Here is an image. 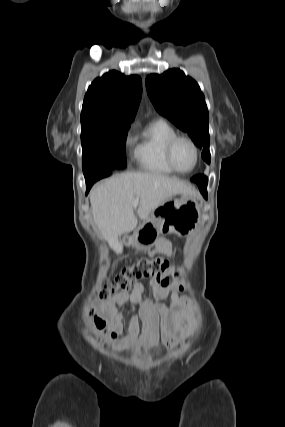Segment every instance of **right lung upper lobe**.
Masks as SVG:
<instances>
[{"label": "right lung upper lobe", "mask_w": 285, "mask_h": 427, "mask_svg": "<svg viewBox=\"0 0 285 427\" xmlns=\"http://www.w3.org/2000/svg\"><path fill=\"white\" fill-rule=\"evenodd\" d=\"M142 94L141 78L110 71L96 78L85 95L81 123H131Z\"/></svg>", "instance_id": "obj_1"}]
</instances>
